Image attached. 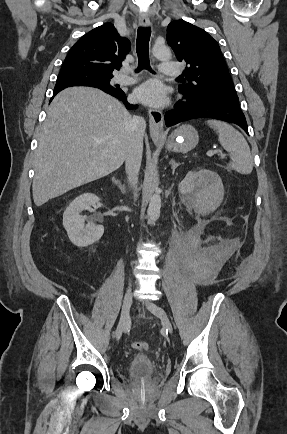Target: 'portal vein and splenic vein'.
Segmentation results:
<instances>
[{
	"label": "portal vein and splenic vein",
	"instance_id": "obj_1",
	"mask_svg": "<svg viewBox=\"0 0 287 434\" xmlns=\"http://www.w3.org/2000/svg\"><path fill=\"white\" fill-rule=\"evenodd\" d=\"M215 153H221L222 154V151L221 150H210V151H208L207 152V156H209V157H211V156H213Z\"/></svg>",
	"mask_w": 287,
	"mask_h": 434
}]
</instances>
